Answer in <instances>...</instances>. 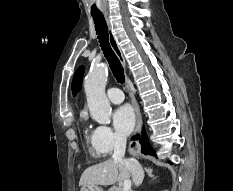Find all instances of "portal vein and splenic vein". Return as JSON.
I'll use <instances>...</instances> for the list:
<instances>
[{"instance_id":"18ae733b","label":"portal vein and splenic vein","mask_w":233,"mask_h":191,"mask_svg":"<svg viewBox=\"0 0 233 191\" xmlns=\"http://www.w3.org/2000/svg\"><path fill=\"white\" fill-rule=\"evenodd\" d=\"M130 188H131V181L130 180H124L123 191H129Z\"/></svg>"}]
</instances>
